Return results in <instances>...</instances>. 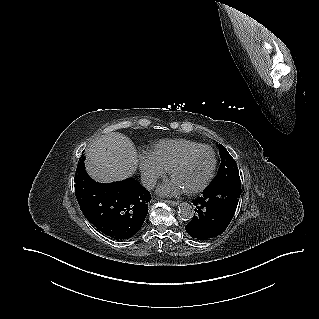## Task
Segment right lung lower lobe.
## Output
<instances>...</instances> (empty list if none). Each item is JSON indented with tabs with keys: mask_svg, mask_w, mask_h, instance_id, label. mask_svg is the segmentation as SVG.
Masks as SVG:
<instances>
[{
	"mask_svg": "<svg viewBox=\"0 0 319 319\" xmlns=\"http://www.w3.org/2000/svg\"><path fill=\"white\" fill-rule=\"evenodd\" d=\"M75 194L84 216L98 230L114 239H129L141 228L151 194L129 178L100 184L84 168V158L75 173Z\"/></svg>",
	"mask_w": 319,
	"mask_h": 319,
	"instance_id": "obj_1",
	"label": "right lung lower lobe"
}]
</instances>
